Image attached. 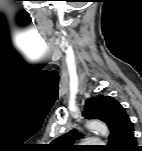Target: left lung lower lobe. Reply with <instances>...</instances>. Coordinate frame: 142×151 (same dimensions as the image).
<instances>
[{"label": "left lung lower lobe", "mask_w": 142, "mask_h": 151, "mask_svg": "<svg viewBox=\"0 0 142 151\" xmlns=\"http://www.w3.org/2000/svg\"><path fill=\"white\" fill-rule=\"evenodd\" d=\"M112 151H141L142 149L136 146V137L134 129H128L111 148Z\"/></svg>", "instance_id": "left-lung-lower-lobe-1"}]
</instances>
